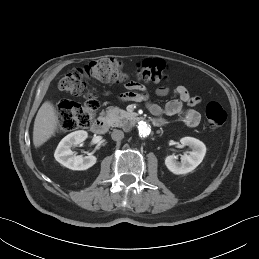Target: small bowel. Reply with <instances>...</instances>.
<instances>
[{
	"label": "small bowel",
	"mask_w": 259,
	"mask_h": 259,
	"mask_svg": "<svg viewBox=\"0 0 259 259\" xmlns=\"http://www.w3.org/2000/svg\"><path fill=\"white\" fill-rule=\"evenodd\" d=\"M169 93L167 87H160L156 90L159 96H165ZM174 95L177 97L168 101L164 107L149 101V98L142 85L138 83H128L126 90L120 95L122 101H136L144 102L149 112L158 117L165 113L168 116L179 115L183 118V122L188 127H196L201 120V116L193 107L200 102L197 96H191L184 86H177L173 90ZM187 106V107H186Z\"/></svg>",
	"instance_id": "obj_1"
}]
</instances>
